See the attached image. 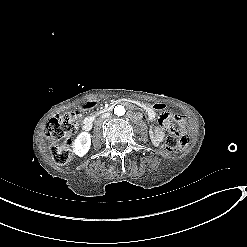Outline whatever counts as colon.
I'll return each instance as SVG.
<instances>
[{
    "label": "colon",
    "instance_id": "5ec220e1",
    "mask_svg": "<svg viewBox=\"0 0 247 247\" xmlns=\"http://www.w3.org/2000/svg\"><path fill=\"white\" fill-rule=\"evenodd\" d=\"M152 107L158 112H164L166 105L161 100L153 102ZM78 112L56 115L46 126V135L51 141V154L55 163L67 164L71 159L70 137L80 123ZM188 143L186 128L182 125L172 127V132L166 136L165 145L170 151L185 147Z\"/></svg>",
    "mask_w": 247,
    "mask_h": 247
}]
</instances>
